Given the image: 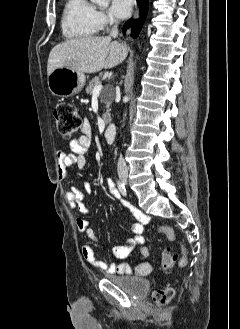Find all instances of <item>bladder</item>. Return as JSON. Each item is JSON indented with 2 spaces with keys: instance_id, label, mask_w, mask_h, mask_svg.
<instances>
[{
  "instance_id": "obj_1",
  "label": "bladder",
  "mask_w": 240,
  "mask_h": 329,
  "mask_svg": "<svg viewBox=\"0 0 240 329\" xmlns=\"http://www.w3.org/2000/svg\"><path fill=\"white\" fill-rule=\"evenodd\" d=\"M110 280L124 291L133 295L145 294L150 287L149 281L142 277L113 276L110 277Z\"/></svg>"
}]
</instances>
